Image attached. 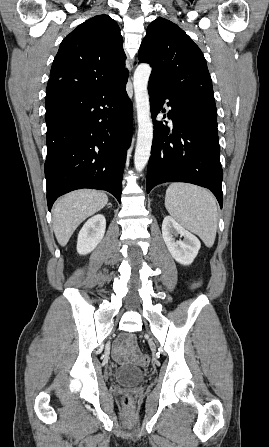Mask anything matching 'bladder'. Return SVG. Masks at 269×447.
<instances>
[{
    "label": "bladder",
    "instance_id": "1",
    "mask_svg": "<svg viewBox=\"0 0 269 447\" xmlns=\"http://www.w3.org/2000/svg\"><path fill=\"white\" fill-rule=\"evenodd\" d=\"M145 372L135 366L120 365L113 374V379L120 385H136L143 382L145 379Z\"/></svg>",
    "mask_w": 269,
    "mask_h": 447
}]
</instances>
